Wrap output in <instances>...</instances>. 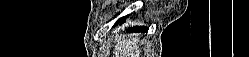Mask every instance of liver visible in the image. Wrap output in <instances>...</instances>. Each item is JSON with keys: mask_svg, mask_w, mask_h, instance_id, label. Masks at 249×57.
<instances>
[{"mask_svg": "<svg viewBox=\"0 0 249 57\" xmlns=\"http://www.w3.org/2000/svg\"><path fill=\"white\" fill-rule=\"evenodd\" d=\"M138 40L135 38H131V41L123 39L119 45L118 55L117 57H138V56H130V55H139L138 48L136 46V42Z\"/></svg>", "mask_w": 249, "mask_h": 57, "instance_id": "1", "label": "liver"}]
</instances>
